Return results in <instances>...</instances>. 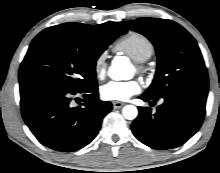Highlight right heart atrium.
Wrapping results in <instances>:
<instances>
[{
    "label": "right heart atrium",
    "mask_w": 220,
    "mask_h": 173,
    "mask_svg": "<svg viewBox=\"0 0 220 173\" xmlns=\"http://www.w3.org/2000/svg\"><path fill=\"white\" fill-rule=\"evenodd\" d=\"M107 63L106 54L100 53L94 62V72L98 78H102L106 74Z\"/></svg>",
    "instance_id": "right-heart-atrium-1"
}]
</instances>
